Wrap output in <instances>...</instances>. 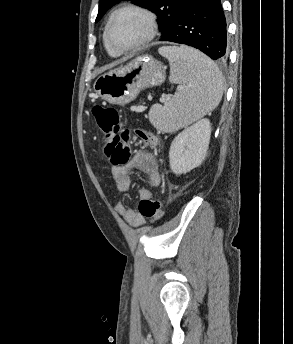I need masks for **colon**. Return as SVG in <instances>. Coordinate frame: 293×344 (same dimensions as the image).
I'll return each instance as SVG.
<instances>
[{"label":"colon","mask_w":293,"mask_h":344,"mask_svg":"<svg viewBox=\"0 0 293 344\" xmlns=\"http://www.w3.org/2000/svg\"><path fill=\"white\" fill-rule=\"evenodd\" d=\"M92 116L104 140V153L113 167L128 164L132 138L151 148L158 144L157 137L150 131L136 129L133 135L129 130L120 131L121 114L114 107L96 105L92 108ZM139 212L144 217L159 220L163 215L161 201L156 198L143 199L139 203Z\"/></svg>","instance_id":"1"}]
</instances>
